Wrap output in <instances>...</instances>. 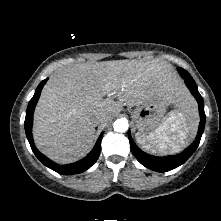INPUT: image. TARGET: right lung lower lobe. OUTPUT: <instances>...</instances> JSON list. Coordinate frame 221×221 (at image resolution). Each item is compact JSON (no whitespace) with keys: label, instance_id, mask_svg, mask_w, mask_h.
Here are the masks:
<instances>
[{"label":"right lung lower lobe","instance_id":"obj_1","mask_svg":"<svg viewBox=\"0 0 221 221\" xmlns=\"http://www.w3.org/2000/svg\"><path fill=\"white\" fill-rule=\"evenodd\" d=\"M47 79L43 80L37 87L34 96L30 100L28 104V108L26 111V117H25V132L27 139L29 141V144L31 146L32 151L36 155V157L47 167L51 168L55 172L62 174V175H72V174H78L81 172H84L85 170L89 169L98 159L100 155V145H101V139L102 134L99 136L93 150L89 153L88 156L83 158L82 160L69 164V165H58L51 160H49L46 156H44L41 152L37 150V148L34 145L33 138H32V122H33V112L35 109V105L40 97L41 90L46 83Z\"/></svg>","mask_w":221,"mask_h":221}]
</instances>
